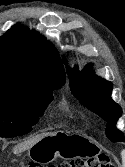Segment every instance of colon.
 <instances>
[{"label": "colon", "instance_id": "colon-1", "mask_svg": "<svg viewBox=\"0 0 125 167\" xmlns=\"http://www.w3.org/2000/svg\"><path fill=\"white\" fill-rule=\"evenodd\" d=\"M111 157L107 154H99L87 159H74L64 161L56 165H48L46 167H113ZM18 167H33L31 165L19 164ZM43 167V166H40Z\"/></svg>", "mask_w": 125, "mask_h": 167}]
</instances>
